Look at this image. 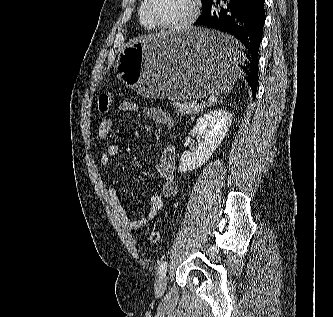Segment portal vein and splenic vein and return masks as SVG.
Masks as SVG:
<instances>
[{"mask_svg": "<svg viewBox=\"0 0 333 317\" xmlns=\"http://www.w3.org/2000/svg\"><path fill=\"white\" fill-rule=\"evenodd\" d=\"M211 103V102H210ZM192 104H197V102H192Z\"/></svg>", "mask_w": 333, "mask_h": 317, "instance_id": "portal-vein-and-splenic-vein-1", "label": "portal vein and splenic vein"}]
</instances>
